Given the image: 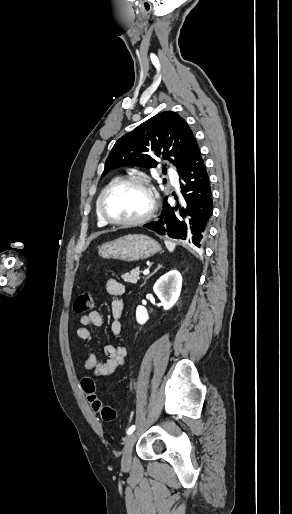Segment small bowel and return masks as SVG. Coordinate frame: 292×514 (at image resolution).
<instances>
[{
	"instance_id": "c3829d8e",
	"label": "small bowel",
	"mask_w": 292,
	"mask_h": 514,
	"mask_svg": "<svg viewBox=\"0 0 292 514\" xmlns=\"http://www.w3.org/2000/svg\"><path fill=\"white\" fill-rule=\"evenodd\" d=\"M105 288L109 295L118 297L125 291L124 285L114 278H109L105 282ZM111 312L113 321L110 325L111 333L114 337H118L122 331L123 324L121 317L124 312V303L115 299L111 304ZM82 327L75 330V335L91 345L94 344V336L87 327L98 328L103 325V317L99 311H91L80 318ZM106 361L100 360L94 351H91L84 360L81 367L85 371H91L93 377H108L112 375L116 369L123 366L127 357V347L121 344H108L104 347Z\"/></svg>"
}]
</instances>
